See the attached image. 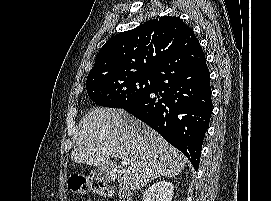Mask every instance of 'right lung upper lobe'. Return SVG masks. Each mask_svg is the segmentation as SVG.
<instances>
[{
    "label": "right lung upper lobe",
    "instance_id": "cb5924a9",
    "mask_svg": "<svg viewBox=\"0 0 271 201\" xmlns=\"http://www.w3.org/2000/svg\"><path fill=\"white\" fill-rule=\"evenodd\" d=\"M193 31L179 17L149 20L111 37L96 56L88 77L140 73L154 74Z\"/></svg>",
    "mask_w": 271,
    "mask_h": 201
}]
</instances>
